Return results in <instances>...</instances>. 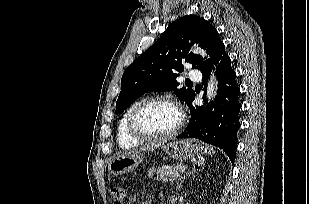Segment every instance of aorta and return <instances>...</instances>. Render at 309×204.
<instances>
[{
  "label": "aorta",
  "mask_w": 309,
  "mask_h": 204,
  "mask_svg": "<svg viewBox=\"0 0 309 204\" xmlns=\"http://www.w3.org/2000/svg\"><path fill=\"white\" fill-rule=\"evenodd\" d=\"M194 52L205 56V52L201 50L200 48H195ZM216 93H217V79L214 74H211L210 79L207 84V95H206L209 102L215 98Z\"/></svg>",
  "instance_id": "aorta-1"
}]
</instances>
